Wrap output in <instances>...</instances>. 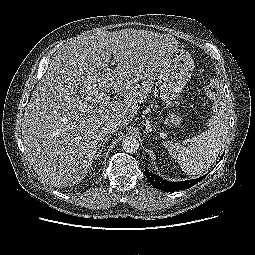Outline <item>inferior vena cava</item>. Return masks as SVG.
Here are the masks:
<instances>
[{
	"label": "inferior vena cava",
	"mask_w": 255,
	"mask_h": 255,
	"mask_svg": "<svg viewBox=\"0 0 255 255\" xmlns=\"http://www.w3.org/2000/svg\"><path fill=\"white\" fill-rule=\"evenodd\" d=\"M119 125L116 121H109L105 127L106 134H113L118 131Z\"/></svg>",
	"instance_id": "1"
}]
</instances>
